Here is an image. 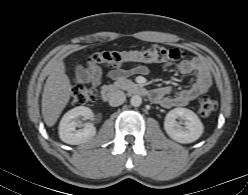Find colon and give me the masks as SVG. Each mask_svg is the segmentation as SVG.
I'll return each mask as SVG.
<instances>
[{
	"label": "colon",
	"instance_id": "obj_1",
	"mask_svg": "<svg viewBox=\"0 0 248 195\" xmlns=\"http://www.w3.org/2000/svg\"><path fill=\"white\" fill-rule=\"evenodd\" d=\"M184 56L182 49L155 44L141 49L103 50L93 54L90 60L93 64L120 68L128 65L160 64L176 61ZM95 96V88L78 86L72 92V101L76 106L86 105L92 102ZM216 107V102L208 96H201L198 100V113L203 118L210 117Z\"/></svg>",
	"mask_w": 248,
	"mask_h": 195
}]
</instances>
